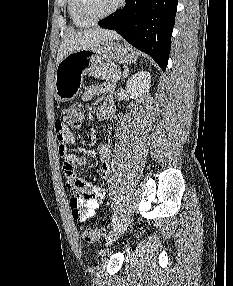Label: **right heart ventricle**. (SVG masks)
Instances as JSON below:
<instances>
[{"instance_id":"obj_1","label":"right heart ventricle","mask_w":233,"mask_h":286,"mask_svg":"<svg viewBox=\"0 0 233 286\" xmlns=\"http://www.w3.org/2000/svg\"><path fill=\"white\" fill-rule=\"evenodd\" d=\"M67 11H68L70 20L74 26L82 28L90 24L79 16L78 11H77V0H68Z\"/></svg>"}]
</instances>
